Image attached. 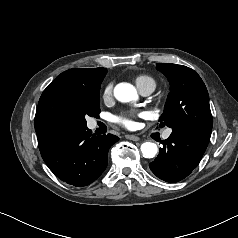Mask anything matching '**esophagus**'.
<instances>
[{"label":"esophagus","mask_w":238,"mask_h":238,"mask_svg":"<svg viewBox=\"0 0 238 238\" xmlns=\"http://www.w3.org/2000/svg\"><path fill=\"white\" fill-rule=\"evenodd\" d=\"M126 139L132 140V141H139L140 138L138 136L135 135H126L125 136Z\"/></svg>","instance_id":"1"}]
</instances>
